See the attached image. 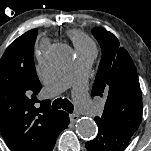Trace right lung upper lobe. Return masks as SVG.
Masks as SVG:
<instances>
[{
  "label": "right lung upper lobe",
  "mask_w": 151,
  "mask_h": 151,
  "mask_svg": "<svg viewBox=\"0 0 151 151\" xmlns=\"http://www.w3.org/2000/svg\"><path fill=\"white\" fill-rule=\"evenodd\" d=\"M37 33L32 29L17 38L0 61V131L11 151H52L64 113L51 109L50 100L36 98L41 89L33 59ZM7 62L18 71L6 68Z\"/></svg>",
  "instance_id": "right-lung-upper-lobe-1"
}]
</instances>
